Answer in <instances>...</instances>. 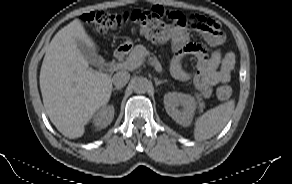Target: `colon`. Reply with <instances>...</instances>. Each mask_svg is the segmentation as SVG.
I'll return each instance as SVG.
<instances>
[{
    "label": "colon",
    "mask_w": 292,
    "mask_h": 184,
    "mask_svg": "<svg viewBox=\"0 0 292 184\" xmlns=\"http://www.w3.org/2000/svg\"><path fill=\"white\" fill-rule=\"evenodd\" d=\"M82 20L101 33L133 26L149 40L161 44L173 43L186 29L197 26L194 17L162 7L123 13L91 11L84 14ZM231 93L228 85H220L216 89V95L220 100H227Z\"/></svg>",
    "instance_id": "colon-1"
}]
</instances>
